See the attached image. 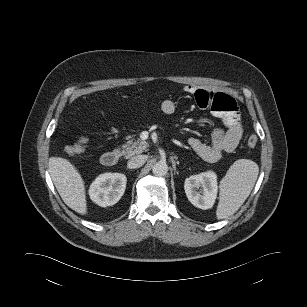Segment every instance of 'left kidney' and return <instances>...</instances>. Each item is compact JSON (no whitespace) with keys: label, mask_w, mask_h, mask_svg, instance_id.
<instances>
[{"label":"left kidney","mask_w":307,"mask_h":307,"mask_svg":"<svg viewBox=\"0 0 307 307\" xmlns=\"http://www.w3.org/2000/svg\"><path fill=\"white\" fill-rule=\"evenodd\" d=\"M184 189L188 200L200 209L212 208L217 198V175L213 171L202 172L186 178Z\"/></svg>","instance_id":"obj_1"}]
</instances>
